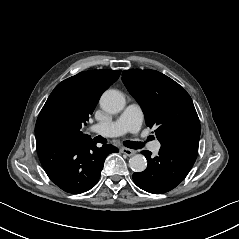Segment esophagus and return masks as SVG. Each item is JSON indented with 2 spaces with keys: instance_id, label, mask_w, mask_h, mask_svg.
<instances>
[{
  "instance_id": "1",
  "label": "esophagus",
  "mask_w": 239,
  "mask_h": 239,
  "mask_svg": "<svg viewBox=\"0 0 239 239\" xmlns=\"http://www.w3.org/2000/svg\"><path fill=\"white\" fill-rule=\"evenodd\" d=\"M120 152L126 154L127 156H133L136 153L134 150L128 148H121Z\"/></svg>"
}]
</instances>
